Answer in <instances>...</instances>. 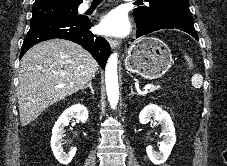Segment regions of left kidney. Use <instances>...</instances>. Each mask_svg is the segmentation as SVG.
Listing matches in <instances>:
<instances>
[{"mask_svg": "<svg viewBox=\"0 0 227 166\" xmlns=\"http://www.w3.org/2000/svg\"><path fill=\"white\" fill-rule=\"evenodd\" d=\"M151 119L157 120L162 125L163 141L159 152L154 151L151 146L146 148V152L153 164L161 165L168 159L176 142L175 128L170 115L155 104L147 105L139 114L141 124H146Z\"/></svg>", "mask_w": 227, "mask_h": 166, "instance_id": "1", "label": "left kidney"}]
</instances>
